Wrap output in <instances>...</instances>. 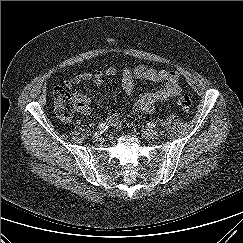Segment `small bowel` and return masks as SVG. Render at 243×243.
<instances>
[{
    "label": "small bowel",
    "mask_w": 243,
    "mask_h": 243,
    "mask_svg": "<svg viewBox=\"0 0 243 243\" xmlns=\"http://www.w3.org/2000/svg\"><path fill=\"white\" fill-rule=\"evenodd\" d=\"M117 75H119L122 88L127 94L132 93L134 90L136 80L164 83L163 87L156 91L141 93L132 106L131 115L150 113L154 110L158 101L176 97L181 92L180 77L176 71L158 70L144 64L138 65L134 69L124 68L120 72L115 67H108L105 70L95 72H82L66 81L65 85L72 88L83 82L93 81L100 86L104 83L105 77H115ZM75 99L78 103V112L82 115H89L91 112L89 98L83 93L77 92L75 93ZM107 122L113 127H120L122 124L116 111H112L108 115Z\"/></svg>",
    "instance_id": "obj_1"
}]
</instances>
